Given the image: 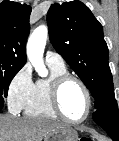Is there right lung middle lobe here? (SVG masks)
Masks as SVG:
<instances>
[{"label": "right lung middle lobe", "instance_id": "1", "mask_svg": "<svg viewBox=\"0 0 119 141\" xmlns=\"http://www.w3.org/2000/svg\"><path fill=\"white\" fill-rule=\"evenodd\" d=\"M19 69H0V110L4 106V97H7L11 80L18 73Z\"/></svg>", "mask_w": 119, "mask_h": 141}]
</instances>
